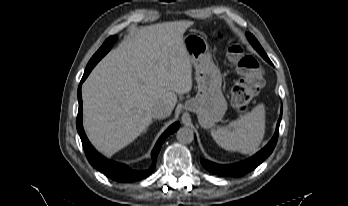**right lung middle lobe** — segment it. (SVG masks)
Returning a JSON list of instances; mask_svg holds the SVG:
<instances>
[{
	"label": "right lung middle lobe",
	"mask_w": 348,
	"mask_h": 206,
	"mask_svg": "<svg viewBox=\"0 0 348 206\" xmlns=\"http://www.w3.org/2000/svg\"><path fill=\"white\" fill-rule=\"evenodd\" d=\"M115 40H116V36L109 37L98 51L108 52L110 50L111 46L113 45V43L115 42Z\"/></svg>",
	"instance_id": "dd1d6c3e"
}]
</instances>
